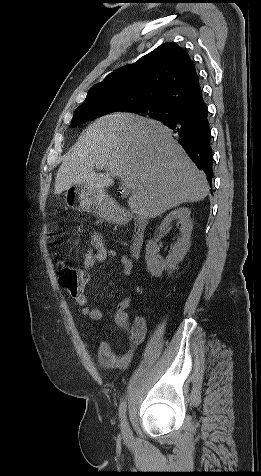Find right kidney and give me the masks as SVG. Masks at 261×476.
<instances>
[{"label":"right kidney","mask_w":261,"mask_h":476,"mask_svg":"<svg viewBox=\"0 0 261 476\" xmlns=\"http://www.w3.org/2000/svg\"><path fill=\"white\" fill-rule=\"evenodd\" d=\"M191 211L186 207L177 208L171 211L161 222L158 230L161 235L166 234L170 230V225L173 220H178L181 225L180 237L174 243L171 253L165 258L161 259L157 255L159 247L157 239L149 240L146 245V264L150 274L154 277H160L164 270H174L179 262H181L187 251L190 248V237L193 228L192 220L190 218Z\"/></svg>","instance_id":"1"}]
</instances>
